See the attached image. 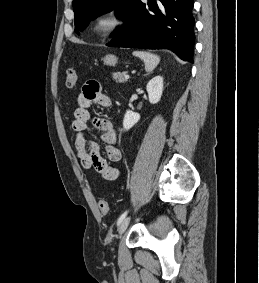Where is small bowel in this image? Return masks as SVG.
I'll return each instance as SVG.
<instances>
[{
    "label": "small bowel",
    "mask_w": 259,
    "mask_h": 283,
    "mask_svg": "<svg viewBox=\"0 0 259 283\" xmlns=\"http://www.w3.org/2000/svg\"><path fill=\"white\" fill-rule=\"evenodd\" d=\"M77 103L71 125L75 134L76 158L84 169L94 168L103 179L116 180L120 176V170L108 162H119L122 159V152L117 146V132L114 124L107 118L92 117L89 112V107L93 104L104 108L111 107V98L101 91L96 81L91 80L83 85ZM89 124L101 133L108 161L102 157L98 143L86 138Z\"/></svg>",
    "instance_id": "small-bowel-1"
}]
</instances>
